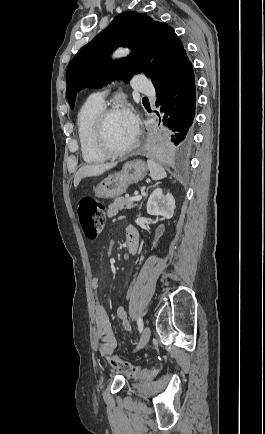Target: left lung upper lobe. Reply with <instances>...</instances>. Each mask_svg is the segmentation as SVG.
Masks as SVG:
<instances>
[{"label": "left lung upper lobe", "instance_id": "5c2ea615", "mask_svg": "<svg viewBox=\"0 0 265 434\" xmlns=\"http://www.w3.org/2000/svg\"><path fill=\"white\" fill-rule=\"evenodd\" d=\"M118 46L130 47L127 58L111 60ZM186 50L168 24L138 12H123L91 42L82 47L70 62L66 96L74 107L77 91L98 88L114 78L130 79L144 73L155 88L160 87Z\"/></svg>", "mask_w": 265, "mask_h": 434}]
</instances>
